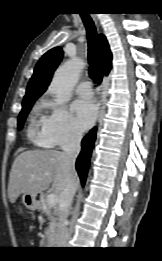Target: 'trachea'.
Wrapping results in <instances>:
<instances>
[{
	"mask_svg": "<svg viewBox=\"0 0 162 261\" xmlns=\"http://www.w3.org/2000/svg\"><path fill=\"white\" fill-rule=\"evenodd\" d=\"M80 15L87 30L89 75L95 83L100 84L102 81V65L99 56L97 31L93 20L87 13Z\"/></svg>",
	"mask_w": 162,
	"mask_h": 261,
	"instance_id": "obj_1",
	"label": "trachea"
}]
</instances>
